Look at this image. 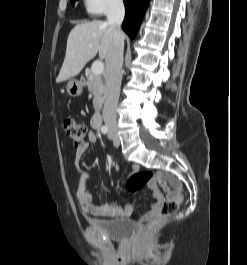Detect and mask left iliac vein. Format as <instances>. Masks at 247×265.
I'll use <instances>...</instances> for the list:
<instances>
[{"mask_svg": "<svg viewBox=\"0 0 247 265\" xmlns=\"http://www.w3.org/2000/svg\"><path fill=\"white\" fill-rule=\"evenodd\" d=\"M108 137L113 141L115 147L119 146L120 141L115 131L110 130L108 133Z\"/></svg>", "mask_w": 247, "mask_h": 265, "instance_id": "4c4485c4", "label": "left iliac vein"}]
</instances>
